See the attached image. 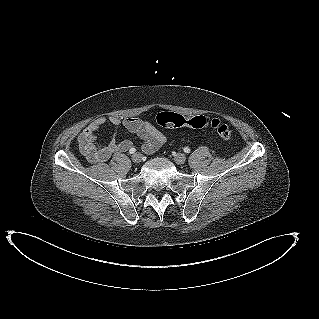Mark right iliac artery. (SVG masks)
<instances>
[{"label": "right iliac artery", "instance_id": "1", "mask_svg": "<svg viewBox=\"0 0 319 319\" xmlns=\"http://www.w3.org/2000/svg\"><path fill=\"white\" fill-rule=\"evenodd\" d=\"M135 151H136L135 148H131V149L129 150V153H130V154H133Z\"/></svg>", "mask_w": 319, "mask_h": 319}]
</instances>
